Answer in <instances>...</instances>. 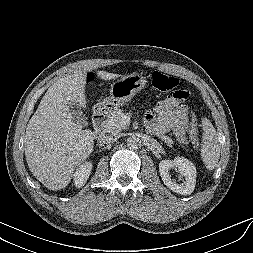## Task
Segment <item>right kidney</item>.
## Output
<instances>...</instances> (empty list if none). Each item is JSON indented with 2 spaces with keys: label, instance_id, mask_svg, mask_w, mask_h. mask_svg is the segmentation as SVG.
Returning <instances> with one entry per match:
<instances>
[{
  "label": "right kidney",
  "instance_id": "ca27d5eb",
  "mask_svg": "<svg viewBox=\"0 0 253 253\" xmlns=\"http://www.w3.org/2000/svg\"><path fill=\"white\" fill-rule=\"evenodd\" d=\"M92 170V163L85 162L74 173V185L78 188L82 187L89 178Z\"/></svg>",
  "mask_w": 253,
  "mask_h": 253
}]
</instances>
